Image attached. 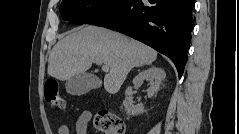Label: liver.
<instances>
[{"label": "liver", "mask_w": 239, "mask_h": 134, "mask_svg": "<svg viewBox=\"0 0 239 134\" xmlns=\"http://www.w3.org/2000/svg\"><path fill=\"white\" fill-rule=\"evenodd\" d=\"M156 58L157 52L141 42L102 27L82 26L53 47L48 74L68 80L85 73L92 63H105L110 71L104 77V88L114 94L133 67L151 64Z\"/></svg>", "instance_id": "1"}]
</instances>
